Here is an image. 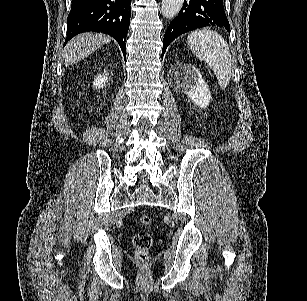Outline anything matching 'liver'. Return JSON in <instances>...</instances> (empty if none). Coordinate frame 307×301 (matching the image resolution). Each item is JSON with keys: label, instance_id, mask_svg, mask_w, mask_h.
Instances as JSON below:
<instances>
[{"label": "liver", "instance_id": "obj_1", "mask_svg": "<svg viewBox=\"0 0 307 301\" xmlns=\"http://www.w3.org/2000/svg\"><path fill=\"white\" fill-rule=\"evenodd\" d=\"M110 38L111 36L102 34V32H83V34H77V36H74V38L67 42L62 52L65 66L80 62V60L89 56L91 52L100 48L102 44L109 42Z\"/></svg>", "mask_w": 307, "mask_h": 301}]
</instances>
